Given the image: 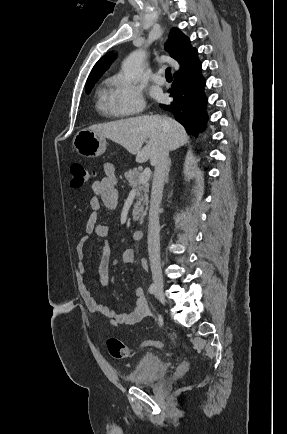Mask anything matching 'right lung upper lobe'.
<instances>
[{"label":"right lung upper lobe","instance_id":"cb5924a9","mask_svg":"<svg viewBox=\"0 0 287 434\" xmlns=\"http://www.w3.org/2000/svg\"><path fill=\"white\" fill-rule=\"evenodd\" d=\"M166 50L170 53L172 58L178 61L180 68L185 66L197 54V50L191 46L189 38L178 28L171 29L169 39L166 43ZM115 57L116 55L113 53H108L102 57L93 67L87 83L98 81Z\"/></svg>","mask_w":287,"mask_h":434}]
</instances>
